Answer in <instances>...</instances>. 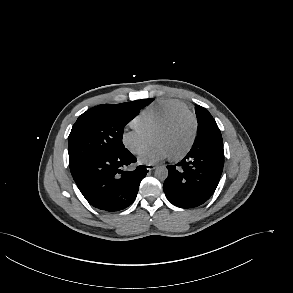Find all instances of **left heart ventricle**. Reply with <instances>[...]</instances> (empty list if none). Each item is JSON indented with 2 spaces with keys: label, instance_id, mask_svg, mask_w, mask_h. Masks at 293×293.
<instances>
[{
  "label": "left heart ventricle",
  "instance_id": "1",
  "mask_svg": "<svg viewBox=\"0 0 293 293\" xmlns=\"http://www.w3.org/2000/svg\"><path fill=\"white\" fill-rule=\"evenodd\" d=\"M192 137V122L183 118L169 129L155 133L153 143H162L169 150L171 156L182 152L189 144Z\"/></svg>",
  "mask_w": 293,
  "mask_h": 293
}]
</instances>
